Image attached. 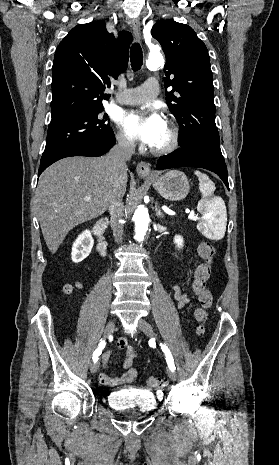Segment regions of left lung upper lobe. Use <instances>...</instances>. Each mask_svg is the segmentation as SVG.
I'll use <instances>...</instances> for the list:
<instances>
[{"instance_id": "5c2ea615", "label": "left lung upper lobe", "mask_w": 279, "mask_h": 465, "mask_svg": "<svg viewBox=\"0 0 279 465\" xmlns=\"http://www.w3.org/2000/svg\"><path fill=\"white\" fill-rule=\"evenodd\" d=\"M166 55V101L180 125L179 145L223 158L215 124L214 86L205 44L194 30L174 20H160L152 28Z\"/></svg>"}]
</instances>
